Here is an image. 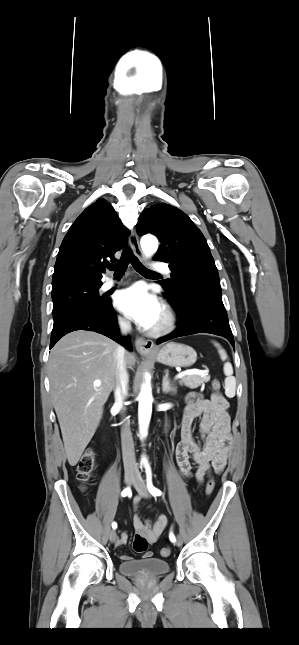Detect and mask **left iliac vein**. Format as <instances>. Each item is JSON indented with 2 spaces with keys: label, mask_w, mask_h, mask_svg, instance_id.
Listing matches in <instances>:
<instances>
[{
  "label": "left iliac vein",
  "mask_w": 299,
  "mask_h": 645,
  "mask_svg": "<svg viewBox=\"0 0 299 645\" xmlns=\"http://www.w3.org/2000/svg\"><path fill=\"white\" fill-rule=\"evenodd\" d=\"M134 487H135V489L137 490V492L139 493V495L141 497H143V498H148L149 497V492H148L147 486H146V484H145V482H144V480H143V478H142L140 473H137V475H136V478H135V481H134ZM176 545L178 547H180L182 545L181 537H178V539L176 541Z\"/></svg>",
  "instance_id": "left-iliac-vein-1"
}]
</instances>
